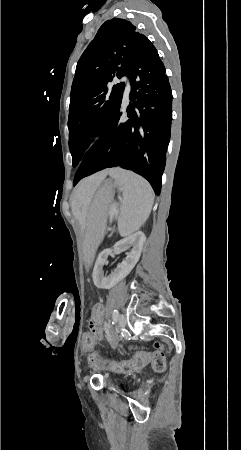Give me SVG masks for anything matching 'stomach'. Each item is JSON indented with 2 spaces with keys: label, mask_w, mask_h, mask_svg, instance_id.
Masks as SVG:
<instances>
[{
  "label": "stomach",
  "mask_w": 241,
  "mask_h": 450,
  "mask_svg": "<svg viewBox=\"0 0 241 450\" xmlns=\"http://www.w3.org/2000/svg\"><path fill=\"white\" fill-rule=\"evenodd\" d=\"M114 185L104 181L96 191L88 212L87 228L83 238L82 257L86 268L92 264L107 226L108 211L114 198Z\"/></svg>",
  "instance_id": "stomach-1"
}]
</instances>
